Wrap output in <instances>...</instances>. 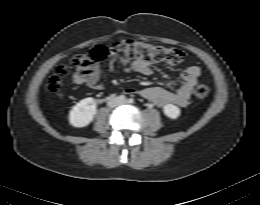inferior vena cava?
Here are the masks:
<instances>
[{
  "instance_id": "602c4592",
  "label": "inferior vena cava",
  "mask_w": 260,
  "mask_h": 205,
  "mask_svg": "<svg viewBox=\"0 0 260 205\" xmlns=\"http://www.w3.org/2000/svg\"><path fill=\"white\" fill-rule=\"evenodd\" d=\"M120 104H121V101H119L117 97L111 98L108 101V106L111 108L119 106Z\"/></svg>"
}]
</instances>
